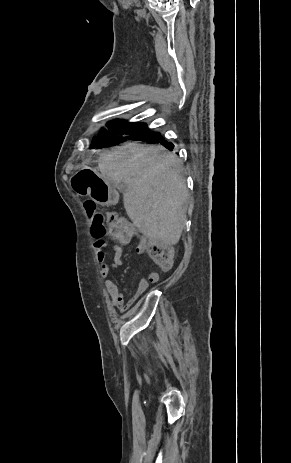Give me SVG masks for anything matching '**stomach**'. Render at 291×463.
<instances>
[{"mask_svg": "<svg viewBox=\"0 0 291 463\" xmlns=\"http://www.w3.org/2000/svg\"><path fill=\"white\" fill-rule=\"evenodd\" d=\"M73 190L79 195H88L101 205L116 203L118 194L112 183L95 171L83 170L70 181Z\"/></svg>", "mask_w": 291, "mask_h": 463, "instance_id": "stomach-1", "label": "stomach"}]
</instances>
